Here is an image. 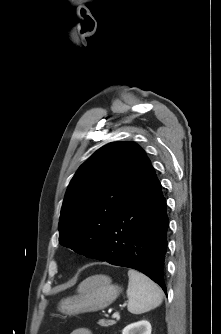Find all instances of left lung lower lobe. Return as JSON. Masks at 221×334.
Returning <instances> with one entry per match:
<instances>
[{"label": "left lung lower lobe", "mask_w": 221, "mask_h": 334, "mask_svg": "<svg viewBox=\"0 0 221 334\" xmlns=\"http://www.w3.org/2000/svg\"><path fill=\"white\" fill-rule=\"evenodd\" d=\"M166 207L161 184L150 166L113 218L98 258L141 271L165 293Z\"/></svg>", "instance_id": "1"}]
</instances>
